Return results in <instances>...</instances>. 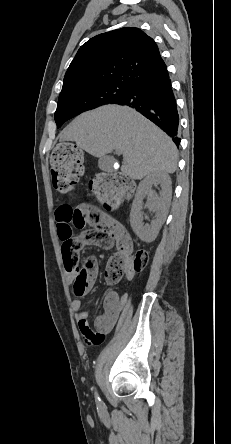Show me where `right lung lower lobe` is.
Segmentation results:
<instances>
[{"mask_svg": "<svg viewBox=\"0 0 231 444\" xmlns=\"http://www.w3.org/2000/svg\"><path fill=\"white\" fill-rule=\"evenodd\" d=\"M115 103L135 108L164 130L179 146V115L167 70L135 82L129 93Z\"/></svg>", "mask_w": 231, "mask_h": 444, "instance_id": "1", "label": "right lung lower lobe"}]
</instances>
